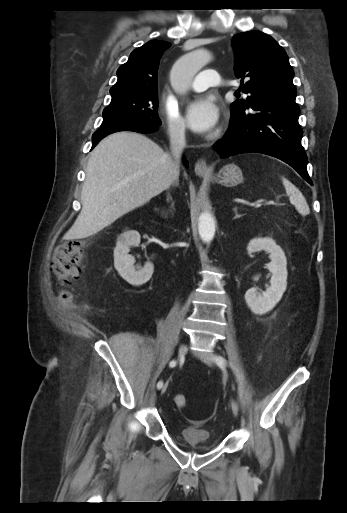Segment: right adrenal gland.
Wrapping results in <instances>:
<instances>
[{
  "label": "right adrenal gland",
  "mask_w": 347,
  "mask_h": 513,
  "mask_svg": "<svg viewBox=\"0 0 347 513\" xmlns=\"http://www.w3.org/2000/svg\"><path fill=\"white\" fill-rule=\"evenodd\" d=\"M167 200H172V198L170 196H168ZM173 207H174V203L172 202L171 208H173Z\"/></svg>",
  "instance_id": "2a0ac1e0"
}]
</instances>
